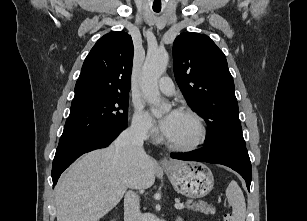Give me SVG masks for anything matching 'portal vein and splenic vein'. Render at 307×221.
<instances>
[{
    "label": "portal vein and splenic vein",
    "instance_id": "1",
    "mask_svg": "<svg viewBox=\"0 0 307 221\" xmlns=\"http://www.w3.org/2000/svg\"><path fill=\"white\" fill-rule=\"evenodd\" d=\"M175 208L178 209V210H181V209L184 208V204L183 203H176Z\"/></svg>",
    "mask_w": 307,
    "mask_h": 221
}]
</instances>
